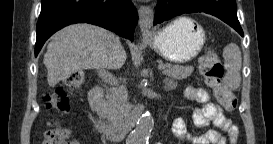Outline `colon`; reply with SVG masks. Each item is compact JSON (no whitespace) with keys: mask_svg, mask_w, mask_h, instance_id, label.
I'll return each instance as SVG.
<instances>
[{"mask_svg":"<svg viewBox=\"0 0 273 144\" xmlns=\"http://www.w3.org/2000/svg\"><path fill=\"white\" fill-rule=\"evenodd\" d=\"M199 71L207 87L215 95L217 101L227 110L233 111L236 108L237 100L235 95L222 82L224 67L219 57L214 52L205 54L199 61ZM85 82L83 71L73 72L67 79V85L73 89H79ZM47 100L60 110H67L69 107L65 91L58 89L47 95ZM69 132L59 129L49 133L47 143L49 144H68L72 141L68 138Z\"/></svg>","mask_w":273,"mask_h":144,"instance_id":"5ec220e1","label":"colon"}]
</instances>
